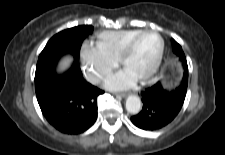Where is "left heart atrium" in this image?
Here are the masks:
<instances>
[{"label": "left heart atrium", "mask_w": 225, "mask_h": 155, "mask_svg": "<svg viewBox=\"0 0 225 155\" xmlns=\"http://www.w3.org/2000/svg\"><path fill=\"white\" fill-rule=\"evenodd\" d=\"M136 81L137 78L124 69L109 76L105 81V87L112 90L126 89L133 86Z\"/></svg>", "instance_id": "39dd6f15"}]
</instances>
